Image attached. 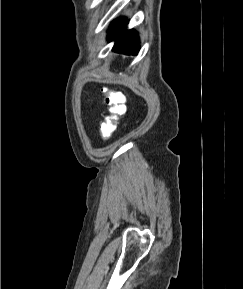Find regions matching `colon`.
<instances>
[{"label": "colon", "mask_w": 243, "mask_h": 289, "mask_svg": "<svg viewBox=\"0 0 243 289\" xmlns=\"http://www.w3.org/2000/svg\"><path fill=\"white\" fill-rule=\"evenodd\" d=\"M104 100L108 106V115L101 125V137L104 140L109 139L114 134L118 118L125 112V96L120 91L102 89Z\"/></svg>", "instance_id": "obj_1"}]
</instances>
